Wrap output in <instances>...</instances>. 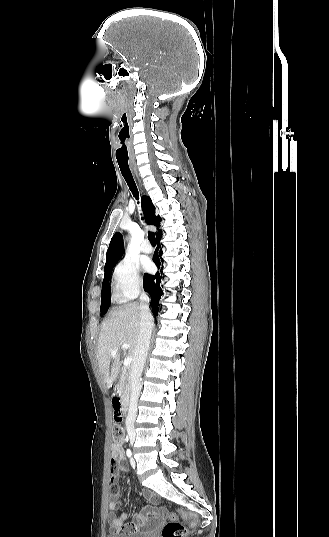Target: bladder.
Listing matches in <instances>:
<instances>
[{
  "label": "bladder",
  "instance_id": "bladder-1",
  "mask_svg": "<svg viewBox=\"0 0 329 537\" xmlns=\"http://www.w3.org/2000/svg\"><path fill=\"white\" fill-rule=\"evenodd\" d=\"M107 537H153L151 533H124L114 530H109Z\"/></svg>",
  "mask_w": 329,
  "mask_h": 537
}]
</instances>
